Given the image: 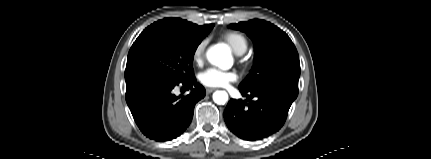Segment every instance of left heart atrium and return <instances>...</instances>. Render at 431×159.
Instances as JSON below:
<instances>
[{
	"label": "left heart atrium",
	"mask_w": 431,
	"mask_h": 159,
	"mask_svg": "<svg viewBox=\"0 0 431 159\" xmlns=\"http://www.w3.org/2000/svg\"><path fill=\"white\" fill-rule=\"evenodd\" d=\"M199 78L201 83L207 87H224L230 82L236 81L238 76L234 71L208 68L200 74Z\"/></svg>",
	"instance_id": "left-heart-atrium-1"
}]
</instances>
